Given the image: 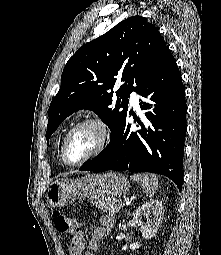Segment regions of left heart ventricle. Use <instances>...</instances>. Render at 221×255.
Wrapping results in <instances>:
<instances>
[{"label":"left heart ventricle","instance_id":"1","mask_svg":"<svg viewBox=\"0 0 221 255\" xmlns=\"http://www.w3.org/2000/svg\"><path fill=\"white\" fill-rule=\"evenodd\" d=\"M99 133L96 128L86 126L77 130L70 138L66 154L70 162H77L89 155L97 146Z\"/></svg>","mask_w":221,"mask_h":255}]
</instances>
